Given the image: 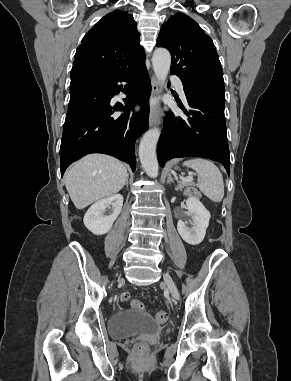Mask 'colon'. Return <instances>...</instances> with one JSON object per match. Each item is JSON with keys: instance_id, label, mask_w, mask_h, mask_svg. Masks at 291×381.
<instances>
[{"instance_id": "colon-1", "label": "colon", "mask_w": 291, "mask_h": 381, "mask_svg": "<svg viewBox=\"0 0 291 381\" xmlns=\"http://www.w3.org/2000/svg\"><path fill=\"white\" fill-rule=\"evenodd\" d=\"M190 193L194 194V191H191ZM120 299L123 302H127V301L130 300V294L127 293V292H123L121 294V296H120ZM130 303H131V306L134 309L139 310V311H143L144 310V304L140 300H138V299H132L130 301ZM154 318H155V321L158 324H164L167 321V319H168V315H167V313L165 311H158V312H156ZM145 350H146V346L145 345H143V344H138L137 345V352L138 353H143V352H145Z\"/></svg>"}]
</instances>
